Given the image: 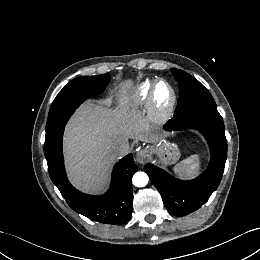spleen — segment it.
Returning a JSON list of instances; mask_svg holds the SVG:
<instances>
[{"label": "spleen", "mask_w": 260, "mask_h": 260, "mask_svg": "<svg viewBox=\"0 0 260 260\" xmlns=\"http://www.w3.org/2000/svg\"><path fill=\"white\" fill-rule=\"evenodd\" d=\"M200 156L192 155L187 159L180 162L175 168L174 172L189 178L195 177L199 174L200 166Z\"/></svg>", "instance_id": "obj_1"}]
</instances>
